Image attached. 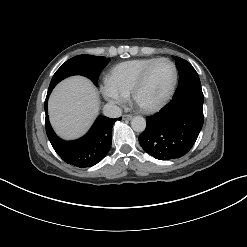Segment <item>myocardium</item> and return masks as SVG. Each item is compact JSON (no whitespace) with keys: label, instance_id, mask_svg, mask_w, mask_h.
<instances>
[{"label":"myocardium","instance_id":"obj_1","mask_svg":"<svg viewBox=\"0 0 247 247\" xmlns=\"http://www.w3.org/2000/svg\"><path fill=\"white\" fill-rule=\"evenodd\" d=\"M161 61H166V62L170 63L172 68H173L172 84H171L167 94L165 95V97L160 102H158L157 104H154L152 106H143V105L139 104V102H138V94H139L141 88L143 87L150 70L153 68V66L155 64H157L158 62H161ZM177 81H178V69H177L176 64L171 59L166 58V57L156 58L153 62H151L149 65H147L143 69V71L139 75L138 79L136 80L135 84L133 85L132 90L130 92L131 101L137 109H139L140 111H142L144 113L157 112L160 109H162L171 99V97L175 91Z\"/></svg>","mask_w":247,"mask_h":247}]
</instances>
